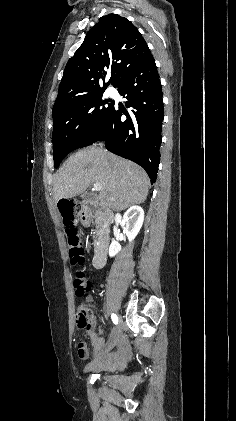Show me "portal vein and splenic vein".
Wrapping results in <instances>:
<instances>
[{"label": "portal vein and splenic vein", "instance_id": "portal-vein-and-splenic-vein-1", "mask_svg": "<svg viewBox=\"0 0 236 421\" xmlns=\"http://www.w3.org/2000/svg\"><path fill=\"white\" fill-rule=\"evenodd\" d=\"M101 188V184H99V182H95V184H93L92 190H101Z\"/></svg>", "mask_w": 236, "mask_h": 421}]
</instances>
